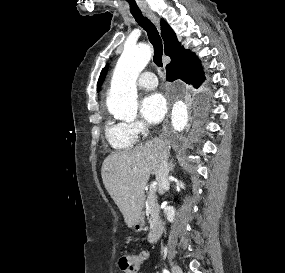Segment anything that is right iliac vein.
Segmentation results:
<instances>
[{
  "mask_svg": "<svg viewBox=\"0 0 285 273\" xmlns=\"http://www.w3.org/2000/svg\"><path fill=\"white\" fill-rule=\"evenodd\" d=\"M171 270H172V273H183L181 268L178 265H172Z\"/></svg>",
  "mask_w": 285,
  "mask_h": 273,
  "instance_id": "obj_1",
  "label": "right iliac vein"
}]
</instances>
